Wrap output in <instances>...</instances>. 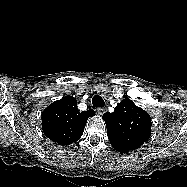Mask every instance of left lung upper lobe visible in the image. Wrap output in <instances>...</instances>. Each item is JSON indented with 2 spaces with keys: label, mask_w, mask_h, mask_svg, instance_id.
<instances>
[{
  "label": "left lung upper lobe",
  "mask_w": 187,
  "mask_h": 187,
  "mask_svg": "<svg viewBox=\"0 0 187 187\" xmlns=\"http://www.w3.org/2000/svg\"><path fill=\"white\" fill-rule=\"evenodd\" d=\"M102 118L109 141L120 153L136 150L150 138L151 117L129 98L122 100L113 113H105Z\"/></svg>",
  "instance_id": "5c2ea615"
}]
</instances>
